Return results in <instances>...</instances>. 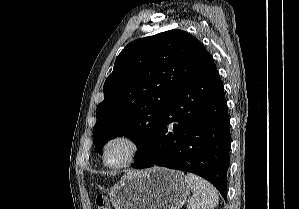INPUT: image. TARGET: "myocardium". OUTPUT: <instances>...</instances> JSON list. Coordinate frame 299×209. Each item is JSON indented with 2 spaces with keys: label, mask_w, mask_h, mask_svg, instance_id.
Masks as SVG:
<instances>
[{
  "label": "myocardium",
  "mask_w": 299,
  "mask_h": 209,
  "mask_svg": "<svg viewBox=\"0 0 299 209\" xmlns=\"http://www.w3.org/2000/svg\"><path fill=\"white\" fill-rule=\"evenodd\" d=\"M116 141L126 142L129 145L130 150H129V154L124 162H122L121 164L112 166L107 163L106 154H107L108 147L113 142H116ZM141 151H142V143L135 135L128 133V132L117 133V134L111 136L106 141V143L103 147V150H102V162H103L104 166L109 169H114V170L123 169V168L130 166L132 163H134L135 160L141 154Z\"/></svg>",
  "instance_id": "1"
}]
</instances>
